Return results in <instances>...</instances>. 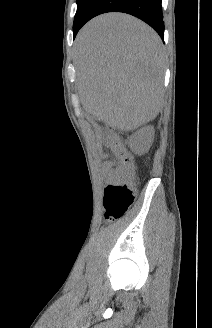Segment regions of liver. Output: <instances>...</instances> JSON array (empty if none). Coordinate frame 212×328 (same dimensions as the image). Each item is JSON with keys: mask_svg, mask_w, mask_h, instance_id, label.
<instances>
[{"mask_svg": "<svg viewBox=\"0 0 212 328\" xmlns=\"http://www.w3.org/2000/svg\"><path fill=\"white\" fill-rule=\"evenodd\" d=\"M75 66L84 109L106 125L127 132L160 112L163 46L139 19L106 13L89 21L76 38Z\"/></svg>", "mask_w": 212, "mask_h": 328, "instance_id": "liver-1", "label": "liver"}]
</instances>
